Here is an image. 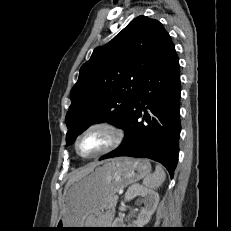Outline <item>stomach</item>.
<instances>
[{"mask_svg":"<svg viewBox=\"0 0 231 231\" xmlns=\"http://www.w3.org/2000/svg\"><path fill=\"white\" fill-rule=\"evenodd\" d=\"M147 159L113 158L98 164L89 174L70 184L63 200V212L55 228L61 231L86 228L89 216L108 208L110 199L122 188L150 174Z\"/></svg>","mask_w":231,"mask_h":231,"instance_id":"0dacf381","label":"stomach"}]
</instances>
